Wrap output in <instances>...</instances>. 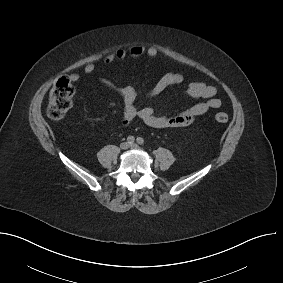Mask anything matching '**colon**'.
<instances>
[{
	"label": "colon",
	"instance_id": "5ec220e1",
	"mask_svg": "<svg viewBox=\"0 0 283 283\" xmlns=\"http://www.w3.org/2000/svg\"><path fill=\"white\" fill-rule=\"evenodd\" d=\"M75 89L67 78L58 79L52 86L46 106L47 116L55 121L61 120L72 107ZM215 119L219 123H226L229 116L225 112H218Z\"/></svg>",
	"mask_w": 283,
	"mask_h": 283
}]
</instances>
